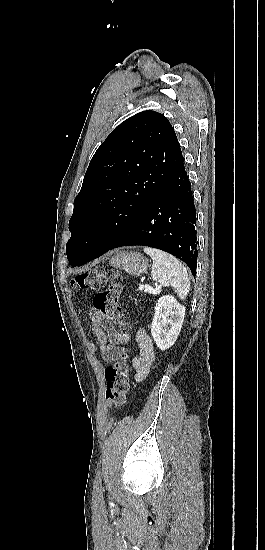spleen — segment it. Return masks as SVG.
Returning a JSON list of instances; mask_svg holds the SVG:
<instances>
[{"instance_id":"obj_1","label":"spleen","mask_w":265,"mask_h":550,"mask_svg":"<svg viewBox=\"0 0 265 550\" xmlns=\"http://www.w3.org/2000/svg\"><path fill=\"white\" fill-rule=\"evenodd\" d=\"M144 252L153 259L152 279L161 287L171 286L181 300L185 299L190 281L184 265L174 256L159 249L144 247Z\"/></svg>"}]
</instances>
